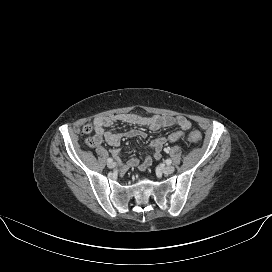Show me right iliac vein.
Segmentation results:
<instances>
[{
    "label": "right iliac vein",
    "mask_w": 272,
    "mask_h": 272,
    "mask_svg": "<svg viewBox=\"0 0 272 272\" xmlns=\"http://www.w3.org/2000/svg\"><path fill=\"white\" fill-rule=\"evenodd\" d=\"M107 166L109 168H114L116 166V164L114 162L108 163Z\"/></svg>",
    "instance_id": "1"
}]
</instances>
